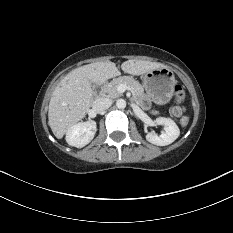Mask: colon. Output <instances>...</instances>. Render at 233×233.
Listing matches in <instances>:
<instances>
[{"instance_id": "5ec220e1", "label": "colon", "mask_w": 233, "mask_h": 233, "mask_svg": "<svg viewBox=\"0 0 233 233\" xmlns=\"http://www.w3.org/2000/svg\"><path fill=\"white\" fill-rule=\"evenodd\" d=\"M174 100H175L176 104L178 105V108L183 110L184 109V100H185V91L179 85H177L174 88ZM180 122L183 126H186L189 123V118L187 116H183L181 118Z\"/></svg>"}]
</instances>
